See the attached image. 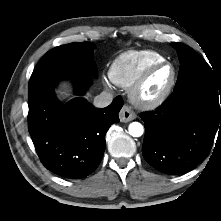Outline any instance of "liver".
Segmentation results:
<instances>
[{
  "label": "liver",
  "instance_id": "6515ba94",
  "mask_svg": "<svg viewBox=\"0 0 221 221\" xmlns=\"http://www.w3.org/2000/svg\"><path fill=\"white\" fill-rule=\"evenodd\" d=\"M62 96L67 95L66 92H60Z\"/></svg>",
  "mask_w": 221,
  "mask_h": 221
}]
</instances>
